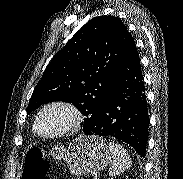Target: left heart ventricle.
<instances>
[{"mask_svg":"<svg viewBox=\"0 0 183 179\" xmlns=\"http://www.w3.org/2000/svg\"><path fill=\"white\" fill-rule=\"evenodd\" d=\"M71 120L69 112L62 108L46 110L40 121V128L45 133H53L65 128Z\"/></svg>","mask_w":183,"mask_h":179,"instance_id":"obj_1","label":"left heart ventricle"}]
</instances>
